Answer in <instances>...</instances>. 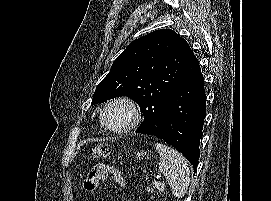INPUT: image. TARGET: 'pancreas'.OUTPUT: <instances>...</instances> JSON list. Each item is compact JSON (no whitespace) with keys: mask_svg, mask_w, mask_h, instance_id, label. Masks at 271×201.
<instances>
[{"mask_svg":"<svg viewBox=\"0 0 271 201\" xmlns=\"http://www.w3.org/2000/svg\"><path fill=\"white\" fill-rule=\"evenodd\" d=\"M153 188L152 187H147V192H153L154 189H158L159 192L164 191V184H161L160 182H152Z\"/></svg>","mask_w":271,"mask_h":201,"instance_id":"pancreas-1","label":"pancreas"}]
</instances>
